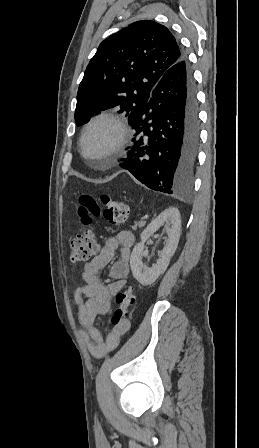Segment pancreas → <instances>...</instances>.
<instances>
[{
    "instance_id": "1",
    "label": "pancreas",
    "mask_w": 259,
    "mask_h": 448,
    "mask_svg": "<svg viewBox=\"0 0 259 448\" xmlns=\"http://www.w3.org/2000/svg\"><path fill=\"white\" fill-rule=\"evenodd\" d=\"M137 226L139 228H142V226H145L144 222H135V226H131L132 230H137Z\"/></svg>"
}]
</instances>
